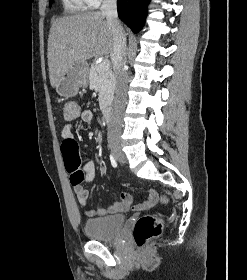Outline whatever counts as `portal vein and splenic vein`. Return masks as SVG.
Segmentation results:
<instances>
[{
    "label": "portal vein and splenic vein",
    "mask_w": 247,
    "mask_h": 280,
    "mask_svg": "<svg viewBox=\"0 0 247 280\" xmlns=\"http://www.w3.org/2000/svg\"><path fill=\"white\" fill-rule=\"evenodd\" d=\"M110 63L108 60H103L100 64H99V68L101 70H106L109 69Z\"/></svg>",
    "instance_id": "1"
}]
</instances>
